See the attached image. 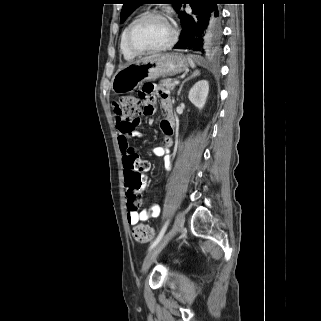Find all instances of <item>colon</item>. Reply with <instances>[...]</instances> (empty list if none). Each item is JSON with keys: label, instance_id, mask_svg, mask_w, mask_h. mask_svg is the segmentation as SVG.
Listing matches in <instances>:
<instances>
[{"label": "colon", "instance_id": "1", "mask_svg": "<svg viewBox=\"0 0 321 321\" xmlns=\"http://www.w3.org/2000/svg\"><path fill=\"white\" fill-rule=\"evenodd\" d=\"M116 112L126 120H137L141 115H148L153 108L146 96H124L116 104ZM149 163L140 157H132L125 164V186L127 190L128 208L137 209L141 204L142 192L146 186L144 173ZM134 239L140 243H148L154 236L152 227L138 224L132 230Z\"/></svg>", "mask_w": 321, "mask_h": 321}]
</instances>
